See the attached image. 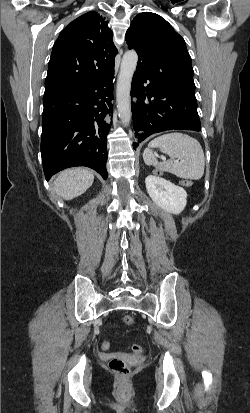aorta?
Returning a JSON list of instances; mask_svg holds the SVG:
<instances>
[{
  "label": "aorta",
  "mask_w": 250,
  "mask_h": 413,
  "mask_svg": "<svg viewBox=\"0 0 250 413\" xmlns=\"http://www.w3.org/2000/svg\"><path fill=\"white\" fill-rule=\"evenodd\" d=\"M138 55L134 50L127 51L122 59L117 81L116 99L119 117L124 125L131 120L130 89Z\"/></svg>",
  "instance_id": "aorta-1"
}]
</instances>
